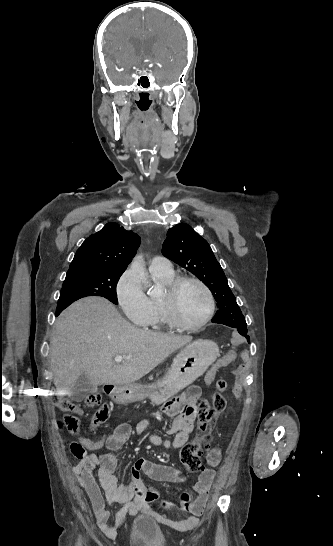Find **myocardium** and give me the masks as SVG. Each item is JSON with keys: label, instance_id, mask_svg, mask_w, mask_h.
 Instances as JSON below:
<instances>
[{"label": "myocardium", "instance_id": "1", "mask_svg": "<svg viewBox=\"0 0 333 546\" xmlns=\"http://www.w3.org/2000/svg\"><path fill=\"white\" fill-rule=\"evenodd\" d=\"M188 282L197 284L204 291L208 300V308L204 317L195 324H188L182 321V319L176 313L174 305V301L180 287ZM160 305L168 324L178 330L183 331H196L203 328L212 319L216 308L215 297L212 290L203 280L194 276L176 277L169 285H167L166 292L160 299Z\"/></svg>", "mask_w": 333, "mask_h": 546}]
</instances>
